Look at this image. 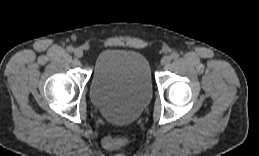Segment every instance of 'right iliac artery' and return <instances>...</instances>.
<instances>
[{"label": "right iliac artery", "mask_w": 259, "mask_h": 156, "mask_svg": "<svg viewBox=\"0 0 259 156\" xmlns=\"http://www.w3.org/2000/svg\"><path fill=\"white\" fill-rule=\"evenodd\" d=\"M67 51H68V52H73V51H74V48H73L72 46H68V47H67Z\"/></svg>", "instance_id": "82829eb1"}]
</instances>
